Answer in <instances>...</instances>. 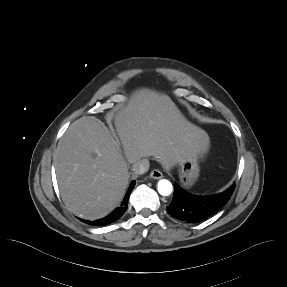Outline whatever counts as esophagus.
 Here are the masks:
<instances>
[{
  "label": "esophagus",
  "mask_w": 287,
  "mask_h": 287,
  "mask_svg": "<svg viewBox=\"0 0 287 287\" xmlns=\"http://www.w3.org/2000/svg\"><path fill=\"white\" fill-rule=\"evenodd\" d=\"M150 177L153 179H160L163 177V174L161 171L154 169L151 171Z\"/></svg>",
  "instance_id": "34e87169"
}]
</instances>
